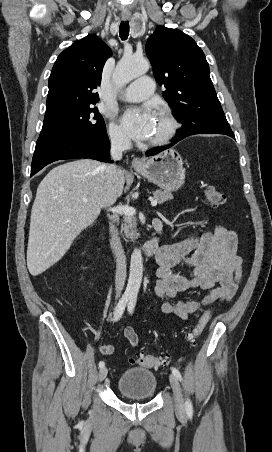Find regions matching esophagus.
Segmentation results:
<instances>
[{
  "mask_svg": "<svg viewBox=\"0 0 272 452\" xmlns=\"http://www.w3.org/2000/svg\"><path fill=\"white\" fill-rule=\"evenodd\" d=\"M129 18H130V15H129V14H124V15H122V19H123V20H128ZM142 163H143V162H142L139 158H134L133 161H132V166H133V167H138V166H141Z\"/></svg>",
  "mask_w": 272,
  "mask_h": 452,
  "instance_id": "esophagus-1",
  "label": "esophagus"
}]
</instances>
